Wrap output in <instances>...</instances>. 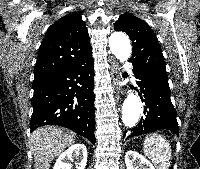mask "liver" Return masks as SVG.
<instances>
[{
    "label": "liver",
    "mask_w": 200,
    "mask_h": 169,
    "mask_svg": "<svg viewBox=\"0 0 200 169\" xmlns=\"http://www.w3.org/2000/svg\"><path fill=\"white\" fill-rule=\"evenodd\" d=\"M75 134L59 126L37 128L31 134L35 169H49L52 160L75 143Z\"/></svg>",
    "instance_id": "obj_1"
}]
</instances>
